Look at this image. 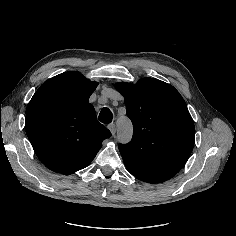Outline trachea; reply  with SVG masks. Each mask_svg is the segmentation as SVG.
Listing matches in <instances>:
<instances>
[{
	"mask_svg": "<svg viewBox=\"0 0 236 236\" xmlns=\"http://www.w3.org/2000/svg\"><path fill=\"white\" fill-rule=\"evenodd\" d=\"M112 119H113L112 112L107 107H104L99 114V120L104 124H109L112 121Z\"/></svg>",
	"mask_w": 236,
	"mask_h": 236,
	"instance_id": "obj_1",
	"label": "trachea"
}]
</instances>
